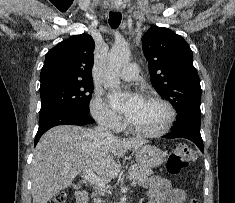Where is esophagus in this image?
<instances>
[{"instance_id":"obj_1","label":"esophagus","mask_w":235,"mask_h":203,"mask_svg":"<svg viewBox=\"0 0 235 203\" xmlns=\"http://www.w3.org/2000/svg\"><path fill=\"white\" fill-rule=\"evenodd\" d=\"M112 10H113L114 12H120V11H122V8H121V6L118 5V4H112Z\"/></svg>"}]
</instances>
